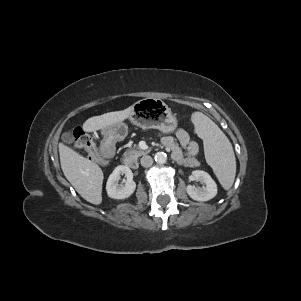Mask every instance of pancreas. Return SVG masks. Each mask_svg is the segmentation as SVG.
Masks as SVG:
<instances>
[{"label":"pancreas","instance_id":"1","mask_svg":"<svg viewBox=\"0 0 301 301\" xmlns=\"http://www.w3.org/2000/svg\"><path fill=\"white\" fill-rule=\"evenodd\" d=\"M147 152L141 150L138 146L134 145L132 148L128 149L124 156L128 159H137L138 157L145 155ZM200 162L195 158H189L184 161L185 166H198Z\"/></svg>","mask_w":301,"mask_h":301}]
</instances>
